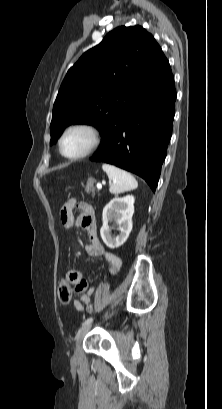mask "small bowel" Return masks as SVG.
<instances>
[{
	"instance_id": "c3829d8e",
	"label": "small bowel",
	"mask_w": 222,
	"mask_h": 409,
	"mask_svg": "<svg viewBox=\"0 0 222 409\" xmlns=\"http://www.w3.org/2000/svg\"><path fill=\"white\" fill-rule=\"evenodd\" d=\"M75 207L81 212L77 219H75L73 214ZM60 217L66 229L79 227L85 231L89 239V243L85 245V250L93 259L99 260L104 258L108 262V269L111 274H115L119 270L121 259L114 253L106 251L101 243L95 224V210L92 205L85 201L77 202L71 198L62 206ZM78 274L79 271L73 268L67 271L66 277L70 284L74 285L72 295L79 297L73 301V306L77 311H82L90 303L95 288H88L86 281L82 280L81 275L79 274L78 276Z\"/></svg>"
}]
</instances>
